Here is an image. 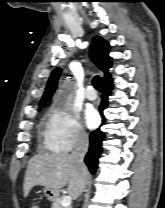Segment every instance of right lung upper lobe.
<instances>
[{
  "instance_id": "right-lung-upper-lobe-1",
  "label": "right lung upper lobe",
  "mask_w": 165,
  "mask_h": 208,
  "mask_svg": "<svg viewBox=\"0 0 165 208\" xmlns=\"http://www.w3.org/2000/svg\"><path fill=\"white\" fill-rule=\"evenodd\" d=\"M109 48L110 46L108 42H106L100 36H95L93 38V42L90 48V55L96 66L105 73V76L101 79L102 83L110 79V73L108 72V69L112 65V59L109 56ZM60 73H61L60 68H56L52 72L48 80L43 97L41 99V104L46 103L53 95L54 91L57 88V82Z\"/></svg>"
}]
</instances>
